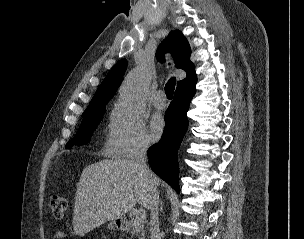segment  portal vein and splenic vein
Here are the masks:
<instances>
[{
    "label": "portal vein and splenic vein",
    "mask_w": 304,
    "mask_h": 239,
    "mask_svg": "<svg viewBox=\"0 0 304 239\" xmlns=\"http://www.w3.org/2000/svg\"><path fill=\"white\" fill-rule=\"evenodd\" d=\"M145 218H146V213H145L144 210H138V211L135 213V221L141 222V221H143Z\"/></svg>",
    "instance_id": "1"
}]
</instances>
